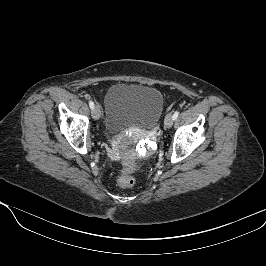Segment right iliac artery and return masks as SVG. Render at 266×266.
<instances>
[{
    "label": "right iliac artery",
    "mask_w": 266,
    "mask_h": 266,
    "mask_svg": "<svg viewBox=\"0 0 266 266\" xmlns=\"http://www.w3.org/2000/svg\"><path fill=\"white\" fill-rule=\"evenodd\" d=\"M89 106H90L91 109H93L94 108V102L93 101H89Z\"/></svg>",
    "instance_id": "82829eb1"
}]
</instances>
